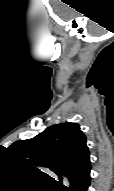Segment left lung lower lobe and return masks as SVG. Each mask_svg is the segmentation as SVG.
I'll use <instances>...</instances> for the list:
<instances>
[{
  "mask_svg": "<svg viewBox=\"0 0 114 191\" xmlns=\"http://www.w3.org/2000/svg\"><path fill=\"white\" fill-rule=\"evenodd\" d=\"M91 163L88 159L75 173L69 178L70 187L61 186L62 191H87L90 185Z\"/></svg>",
  "mask_w": 114,
  "mask_h": 191,
  "instance_id": "left-lung-lower-lobe-1",
  "label": "left lung lower lobe"
}]
</instances>
